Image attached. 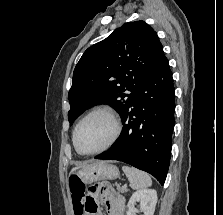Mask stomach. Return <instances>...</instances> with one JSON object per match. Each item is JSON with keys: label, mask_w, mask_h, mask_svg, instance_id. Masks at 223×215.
<instances>
[{"label": "stomach", "mask_w": 223, "mask_h": 215, "mask_svg": "<svg viewBox=\"0 0 223 215\" xmlns=\"http://www.w3.org/2000/svg\"><path fill=\"white\" fill-rule=\"evenodd\" d=\"M71 177L80 179L84 185H88V183H94V181H100V179H116V177H119V169L110 161H97V163H90L87 167H82ZM69 191L71 193V187H69Z\"/></svg>", "instance_id": "1"}]
</instances>
